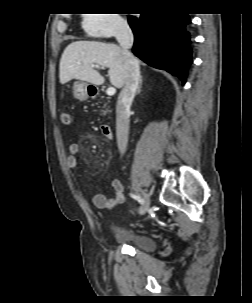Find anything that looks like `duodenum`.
<instances>
[{
	"label": "duodenum",
	"instance_id": "1",
	"mask_svg": "<svg viewBox=\"0 0 252 303\" xmlns=\"http://www.w3.org/2000/svg\"><path fill=\"white\" fill-rule=\"evenodd\" d=\"M100 129L106 139H112L113 137L112 130L108 124H101Z\"/></svg>",
	"mask_w": 252,
	"mask_h": 303
}]
</instances>
